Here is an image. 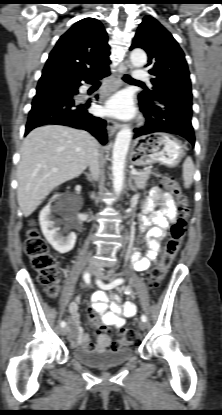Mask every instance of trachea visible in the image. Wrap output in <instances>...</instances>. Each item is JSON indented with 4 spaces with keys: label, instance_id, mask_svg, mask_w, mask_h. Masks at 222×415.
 <instances>
[{
    "label": "trachea",
    "instance_id": "obj_1",
    "mask_svg": "<svg viewBox=\"0 0 222 415\" xmlns=\"http://www.w3.org/2000/svg\"><path fill=\"white\" fill-rule=\"evenodd\" d=\"M124 81L126 82H133V83H139V84H143L142 82H138L136 80H134L131 76L129 75H124L122 78Z\"/></svg>",
    "mask_w": 222,
    "mask_h": 415
}]
</instances>
